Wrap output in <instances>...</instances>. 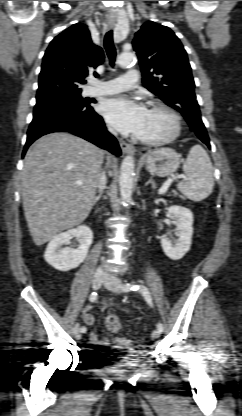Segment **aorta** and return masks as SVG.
I'll use <instances>...</instances> for the list:
<instances>
[{
	"label": "aorta",
	"instance_id": "762f6f07",
	"mask_svg": "<svg viewBox=\"0 0 242 416\" xmlns=\"http://www.w3.org/2000/svg\"><path fill=\"white\" fill-rule=\"evenodd\" d=\"M136 57L134 53L123 52L118 57V64L121 67H127L135 61ZM134 158L130 155L126 156L121 164L120 177H119V189L124 206H128L131 202V196L134 183Z\"/></svg>",
	"mask_w": 242,
	"mask_h": 416
}]
</instances>
